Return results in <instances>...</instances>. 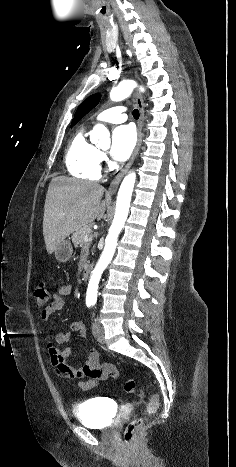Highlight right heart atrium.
Wrapping results in <instances>:
<instances>
[{"mask_svg":"<svg viewBox=\"0 0 236 467\" xmlns=\"http://www.w3.org/2000/svg\"><path fill=\"white\" fill-rule=\"evenodd\" d=\"M99 161H100V164H103V165L109 164L107 156L102 152H100L99 154Z\"/></svg>","mask_w":236,"mask_h":467,"instance_id":"d8ad5b80","label":"right heart atrium"}]
</instances>
